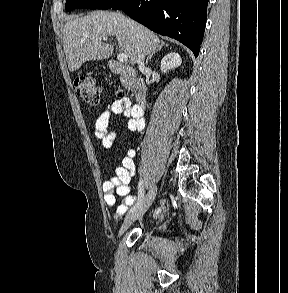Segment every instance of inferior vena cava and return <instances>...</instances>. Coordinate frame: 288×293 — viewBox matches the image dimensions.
I'll return each instance as SVG.
<instances>
[{
    "label": "inferior vena cava",
    "instance_id": "inferior-vena-cava-1",
    "mask_svg": "<svg viewBox=\"0 0 288 293\" xmlns=\"http://www.w3.org/2000/svg\"><path fill=\"white\" fill-rule=\"evenodd\" d=\"M138 67H139L140 70H143L145 68L144 54L141 51V49H138Z\"/></svg>",
    "mask_w": 288,
    "mask_h": 293
}]
</instances>
